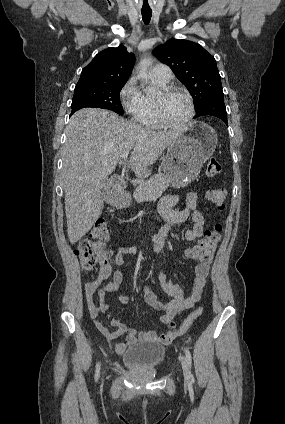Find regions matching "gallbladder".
I'll return each mask as SVG.
<instances>
[{"label": "gallbladder", "instance_id": "1", "mask_svg": "<svg viewBox=\"0 0 285 424\" xmlns=\"http://www.w3.org/2000/svg\"><path fill=\"white\" fill-rule=\"evenodd\" d=\"M109 183L108 179H104L101 183L102 189H105V187L107 186V184Z\"/></svg>", "mask_w": 285, "mask_h": 424}]
</instances>
